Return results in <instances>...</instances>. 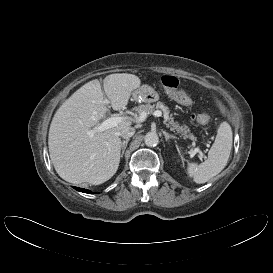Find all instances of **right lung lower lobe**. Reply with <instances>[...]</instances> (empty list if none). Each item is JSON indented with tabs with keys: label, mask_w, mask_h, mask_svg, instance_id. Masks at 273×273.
Here are the masks:
<instances>
[{
	"label": "right lung lower lobe",
	"mask_w": 273,
	"mask_h": 273,
	"mask_svg": "<svg viewBox=\"0 0 273 273\" xmlns=\"http://www.w3.org/2000/svg\"><path fill=\"white\" fill-rule=\"evenodd\" d=\"M75 189H76L77 191H80V192H84V193H89V194H91V191H89V190H87V189L78 188V187H75Z\"/></svg>",
	"instance_id": "1"
}]
</instances>
